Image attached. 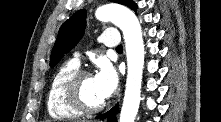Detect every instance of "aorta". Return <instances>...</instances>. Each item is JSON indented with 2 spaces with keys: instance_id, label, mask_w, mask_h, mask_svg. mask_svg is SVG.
Here are the masks:
<instances>
[{
  "instance_id": "762f6f07",
  "label": "aorta",
  "mask_w": 221,
  "mask_h": 122,
  "mask_svg": "<svg viewBox=\"0 0 221 122\" xmlns=\"http://www.w3.org/2000/svg\"><path fill=\"white\" fill-rule=\"evenodd\" d=\"M100 21H111L124 35L127 56V80L119 122H134L141 100L144 44L140 23L135 14L120 4H106L96 10Z\"/></svg>"
}]
</instances>
